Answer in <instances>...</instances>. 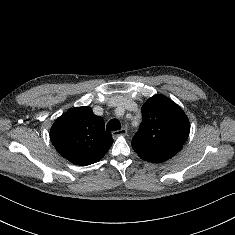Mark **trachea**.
<instances>
[{"instance_id": "trachea-1", "label": "trachea", "mask_w": 235, "mask_h": 235, "mask_svg": "<svg viewBox=\"0 0 235 235\" xmlns=\"http://www.w3.org/2000/svg\"><path fill=\"white\" fill-rule=\"evenodd\" d=\"M121 129L120 121L117 119H111L106 126L107 131H117Z\"/></svg>"}]
</instances>
